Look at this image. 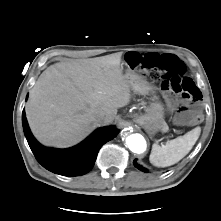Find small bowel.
Masks as SVG:
<instances>
[{"instance_id": "small-bowel-1", "label": "small bowel", "mask_w": 221, "mask_h": 221, "mask_svg": "<svg viewBox=\"0 0 221 221\" xmlns=\"http://www.w3.org/2000/svg\"><path fill=\"white\" fill-rule=\"evenodd\" d=\"M136 54L139 56L141 62H143L147 53H136ZM166 100H167V103H168V107L171 110H174L177 107V102L173 98L167 96Z\"/></svg>"}]
</instances>
